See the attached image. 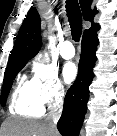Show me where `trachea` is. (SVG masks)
<instances>
[{
  "mask_svg": "<svg viewBox=\"0 0 117 136\" xmlns=\"http://www.w3.org/2000/svg\"><path fill=\"white\" fill-rule=\"evenodd\" d=\"M66 12L74 41H79L82 34V14L77 0L66 1Z\"/></svg>",
  "mask_w": 117,
  "mask_h": 136,
  "instance_id": "obj_1",
  "label": "trachea"
}]
</instances>
